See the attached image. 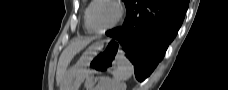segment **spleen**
<instances>
[{
  "mask_svg": "<svg viewBox=\"0 0 228 90\" xmlns=\"http://www.w3.org/2000/svg\"><path fill=\"white\" fill-rule=\"evenodd\" d=\"M134 72L133 65L121 51L117 56L116 68L112 71L113 78L116 82L128 80Z\"/></svg>",
  "mask_w": 228,
  "mask_h": 90,
  "instance_id": "1",
  "label": "spleen"
}]
</instances>
